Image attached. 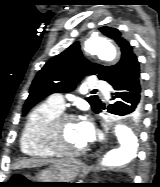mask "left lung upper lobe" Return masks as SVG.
Masks as SVG:
<instances>
[{"instance_id":"1","label":"left lung upper lobe","mask_w":160,"mask_h":187,"mask_svg":"<svg viewBox=\"0 0 160 187\" xmlns=\"http://www.w3.org/2000/svg\"><path fill=\"white\" fill-rule=\"evenodd\" d=\"M99 30L114 40L120 47V61L116 65L108 67L91 63L82 57L79 43H74L64 52L49 60L37 73L25 102L23 115H26L29 109L36 103L52 93L74 90L76 84L87 75H97L100 80L107 81L109 84L122 75L129 61L135 56L132 47L117 29L104 26ZM86 100L91 105L93 111L97 113L101 106L100 99L97 96H90ZM127 120L134 128H137L140 123L130 119Z\"/></svg>"}]
</instances>
